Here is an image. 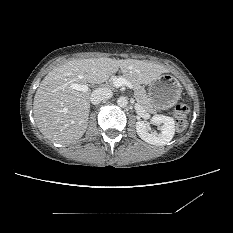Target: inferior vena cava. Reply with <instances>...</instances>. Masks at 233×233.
I'll return each instance as SVG.
<instances>
[{"label": "inferior vena cava", "mask_w": 233, "mask_h": 233, "mask_svg": "<svg viewBox=\"0 0 233 233\" xmlns=\"http://www.w3.org/2000/svg\"><path fill=\"white\" fill-rule=\"evenodd\" d=\"M113 93L108 88H97L91 93L90 101L94 105H98L103 100L110 99Z\"/></svg>", "instance_id": "inferior-vena-cava-1"}]
</instances>
